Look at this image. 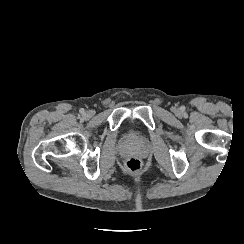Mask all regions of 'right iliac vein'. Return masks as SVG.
<instances>
[{
	"label": "right iliac vein",
	"instance_id": "right-iliac-vein-1",
	"mask_svg": "<svg viewBox=\"0 0 244 244\" xmlns=\"http://www.w3.org/2000/svg\"><path fill=\"white\" fill-rule=\"evenodd\" d=\"M90 116H91V112L90 111L85 112V114H84L85 118H89Z\"/></svg>",
	"mask_w": 244,
	"mask_h": 244
}]
</instances>
